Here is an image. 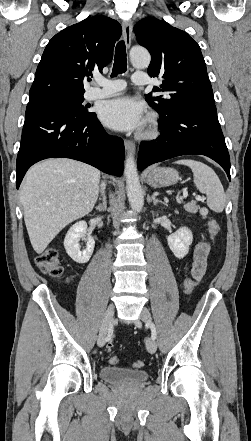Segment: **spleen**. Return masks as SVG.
<instances>
[{
	"mask_svg": "<svg viewBox=\"0 0 251 441\" xmlns=\"http://www.w3.org/2000/svg\"><path fill=\"white\" fill-rule=\"evenodd\" d=\"M176 164L186 165L192 169L196 188L207 195V205L214 212H222L226 196L221 181L208 165L193 159H180Z\"/></svg>",
	"mask_w": 251,
	"mask_h": 441,
	"instance_id": "spleen-1",
	"label": "spleen"
}]
</instances>
